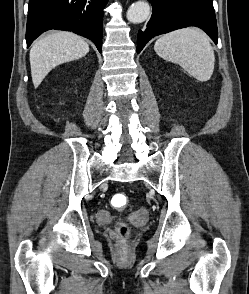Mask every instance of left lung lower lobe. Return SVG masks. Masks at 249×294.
Returning a JSON list of instances; mask_svg holds the SVG:
<instances>
[{
	"mask_svg": "<svg viewBox=\"0 0 249 294\" xmlns=\"http://www.w3.org/2000/svg\"><path fill=\"white\" fill-rule=\"evenodd\" d=\"M153 13L147 29L139 30L137 53L153 37L170 31L196 26L203 29L217 44L218 31L212 0H149Z\"/></svg>",
	"mask_w": 249,
	"mask_h": 294,
	"instance_id": "obj_1",
	"label": "left lung lower lobe"
}]
</instances>
